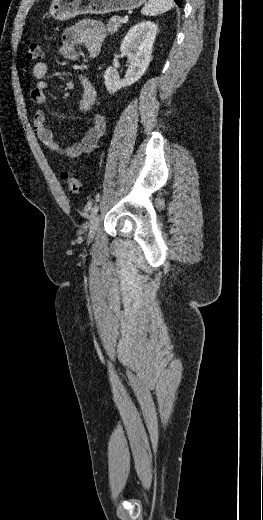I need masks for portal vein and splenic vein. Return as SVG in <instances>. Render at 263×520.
Here are the masks:
<instances>
[{
    "mask_svg": "<svg viewBox=\"0 0 263 520\" xmlns=\"http://www.w3.org/2000/svg\"><path fill=\"white\" fill-rule=\"evenodd\" d=\"M120 21L122 23H126L128 21V16L123 17Z\"/></svg>",
    "mask_w": 263,
    "mask_h": 520,
    "instance_id": "obj_1",
    "label": "portal vein and splenic vein"
}]
</instances>
